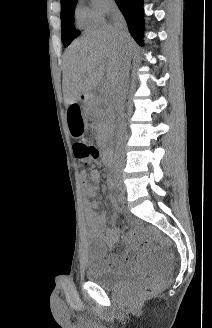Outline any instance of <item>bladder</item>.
I'll return each instance as SVG.
<instances>
[{"label": "bladder", "instance_id": "1", "mask_svg": "<svg viewBox=\"0 0 212 328\" xmlns=\"http://www.w3.org/2000/svg\"><path fill=\"white\" fill-rule=\"evenodd\" d=\"M87 278L107 291H117L121 288L136 283L142 277V271L136 269L129 274H118L107 269L102 262L89 263Z\"/></svg>", "mask_w": 212, "mask_h": 328}]
</instances>
